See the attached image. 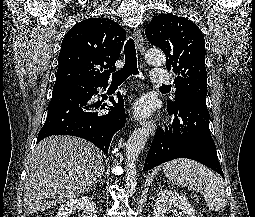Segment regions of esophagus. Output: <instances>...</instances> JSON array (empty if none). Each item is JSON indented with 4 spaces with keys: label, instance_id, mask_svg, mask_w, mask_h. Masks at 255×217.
Wrapping results in <instances>:
<instances>
[{
    "label": "esophagus",
    "instance_id": "esophagus-1",
    "mask_svg": "<svg viewBox=\"0 0 255 217\" xmlns=\"http://www.w3.org/2000/svg\"><path fill=\"white\" fill-rule=\"evenodd\" d=\"M134 40L140 55L143 56L145 53L144 40L139 29L134 30ZM140 124L147 126L150 129V133L154 134L156 124L153 121L142 120L140 121Z\"/></svg>",
    "mask_w": 255,
    "mask_h": 217
}]
</instances>
